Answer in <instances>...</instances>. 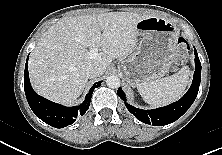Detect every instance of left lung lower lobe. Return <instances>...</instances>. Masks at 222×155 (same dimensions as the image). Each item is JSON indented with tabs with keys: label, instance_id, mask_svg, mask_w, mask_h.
<instances>
[{
	"label": "left lung lower lobe",
	"instance_id": "0a47b994",
	"mask_svg": "<svg viewBox=\"0 0 222 155\" xmlns=\"http://www.w3.org/2000/svg\"><path fill=\"white\" fill-rule=\"evenodd\" d=\"M194 50L196 70L194 72L192 85L187 91V93L180 100L170 105L156 108L153 110H143L135 108L128 104L126 102L125 93L122 91L121 88H119L117 92L118 96L125 102V105L129 112H131L137 119L146 124H153L159 126L170 124L180 118L194 102L200 86L201 63L195 48Z\"/></svg>",
	"mask_w": 222,
	"mask_h": 155
}]
</instances>
